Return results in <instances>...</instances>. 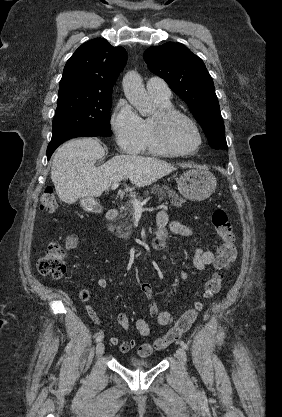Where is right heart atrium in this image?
I'll return each instance as SVG.
<instances>
[{
    "label": "right heart atrium",
    "mask_w": 282,
    "mask_h": 417,
    "mask_svg": "<svg viewBox=\"0 0 282 417\" xmlns=\"http://www.w3.org/2000/svg\"><path fill=\"white\" fill-rule=\"evenodd\" d=\"M117 145L122 151L135 154L143 150L145 131L143 119L126 102L120 101L111 117Z\"/></svg>",
    "instance_id": "right-heart-atrium-1"
}]
</instances>
